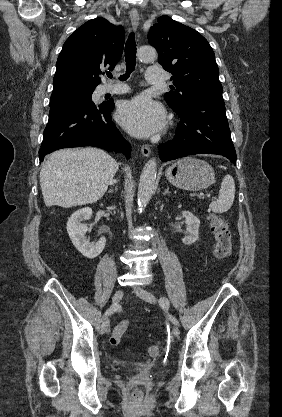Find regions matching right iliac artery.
Returning <instances> with one entry per match:
<instances>
[{"label": "right iliac artery", "instance_id": "right-iliac-artery-1", "mask_svg": "<svg viewBox=\"0 0 282 417\" xmlns=\"http://www.w3.org/2000/svg\"><path fill=\"white\" fill-rule=\"evenodd\" d=\"M116 310H117V305L115 304L105 311L103 318L113 314ZM97 328H99V326H97Z\"/></svg>", "mask_w": 282, "mask_h": 417}]
</instances>
